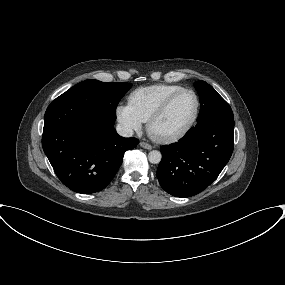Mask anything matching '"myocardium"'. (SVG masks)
<instances>
[{
  "label": "myocardium",
  "mask_w": 285,
  "mask_h": 285,
  "mask_svg": "<svg viewBox=\"0 0 285 285\" xmlns=\"http://www.w3.org/2000/svg\"><path fill=\"white\" fill-rule=\"evenodd\" d=\"M183 93H191L195 98L194 113L191 119L189 120V122L181 130H179L178 132L172 133V134L159 135L155 133L153 130L154 124L166 113V111L168 110L172 102L179 95ZM199 111H200V99H199L198 94L192 89L182 88L178 90L177 92L173 93L172 95H170L168 98H166L161 103V105L150 115V117L147 120V126H146L147 132L149 136L157 142L169 143V142L177 141L181 139L182 137H184L193 128V126L195 125L198 119Z\"/></svg>",
  "instance_id": "f54148a6"
}]
</instances>
